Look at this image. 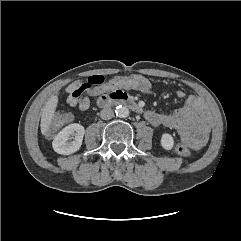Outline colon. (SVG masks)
Masks as SVG:
<instances>
[{
    "instance_id": "obj_1",
    "label": "colon",
    "mask_w": 241,
    "mask_h": 241,
    "mask_svg": "<svg viewBox=\"0 0 241 241\" xmlns=\"http://www.w3.org/2000/svg\"><path fill=\"white\" fill-rule=\"evenodd\" d=\"M125 90H137L145 94H153L154 88L152 84L143 76H118L108 81L101 75H92L83 81H77L71 84V96L81 97L84 92H89L91 95L97 94H112L117 92H124ZM70 117L64 112H60L54 118L48 128V135H54L57 130L67 121ZM174 151L181 157H189L190 151L183 144H176Z\"/></svg>"
}]
</instances>
